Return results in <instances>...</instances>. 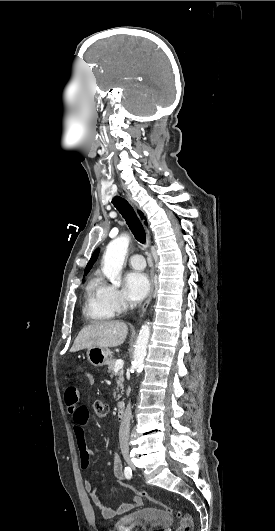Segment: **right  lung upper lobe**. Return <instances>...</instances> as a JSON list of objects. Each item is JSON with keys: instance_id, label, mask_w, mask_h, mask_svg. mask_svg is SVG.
<instances>
[{"instance_id": "cb5924a9", "label": "right lung upper lobe", "mask_w": 275, "mask_h": 531, "mask_svg": "<svg viewBox=\"0 0 275 531\" xmlns=\"http://www.w3.org/2000/svg\"><path fill=\"white\" fill-rule=\"evenodd\" d=\"M139 215H140L141 219L144 218L143 214H142L140 211H139ZM98 253H99V249H97V250L93 253V255H92L90 261L88 262V264H87V266H86L85 273H87V272L89 271V269L92 267V265H93L94 262L96 261L97 256H98Z\"/></svg>"}]
</instances>
